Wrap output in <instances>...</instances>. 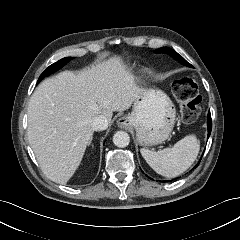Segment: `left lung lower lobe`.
Listing matches in <instances>:
<instances>
[{"label":"left lung lower lobe","mask_w":240,"mask_h":240,"mask_svg":"<svg viewBox=\"0 0 240 240\" xmlns=\"http://www.w3.org/2000/svg\"><path fill=\"white\" fill-rule=\"evenodd\" d=\"M208 137L210 136L211 130H212V120H211V114L210 112L208 113ZM198 165H196L194 168H196Z\"/></svg>","instance_id":"left-lung-lower-lobe-1"}]
</instances>
